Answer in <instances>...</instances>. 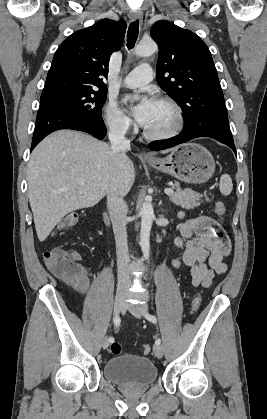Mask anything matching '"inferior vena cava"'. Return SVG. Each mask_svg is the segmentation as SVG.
<instances>
[{"instance_id":"1","label":"inferior vena cava","mask_w":267,"mask_h":419,"mask_svg":"<svg viewBox=\"0 0 267 419\" xmlns=\"http://www.w3.org/2000/svg\"><path fill=\"white\" fill-rule=\"evenodd\" d=\"M126 128L121 123L110 127L109 140L111 149L124 152L130 150V141L125 138ZM123 188L118 183H113L107 192V208L113 224V231L116 241L118 287L126 289L131 284L129 269V252L126 231L127 205L123 199Z\"/></svg>"}]
</instances>
